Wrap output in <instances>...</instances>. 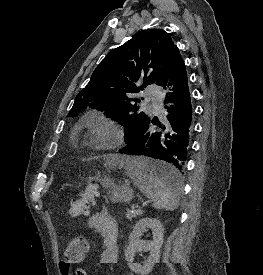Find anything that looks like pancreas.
Masks as SVG:
<instances>
[{
  "instance_id": "pancreas-1",
  "label": "pancreas",
  "mask_w": 263,
  "mask_h": 275,
  "mask_svg": "<svg viewBox=\"0 0 263 275\" xmlns=\"http://www.w3.org/2000/svg\"><path fill=\"white\" fill-rule=\"evenodd\" d=\"M142 211L141 210H127L126 212V217L128 220H131L132 218H136L137 216L142 215Z\"/></svg>"
}]
</instances>
